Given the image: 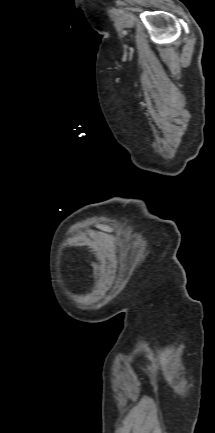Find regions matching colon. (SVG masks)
<instances>
[{"instance_id":"colon-1","label":"colon","mask_w":215,"mask_h":433,"mask_svg":"<svg viewBox=\"0 0 215 433\" xmlns=\"http://www.w3.org/2000/svg\"><path fill=\"white\" fill-rule=\"evenodd\" d=\"M95 273V267L94 265L91 267V274L93 275Z\"/></svg>"}]
</instances>
